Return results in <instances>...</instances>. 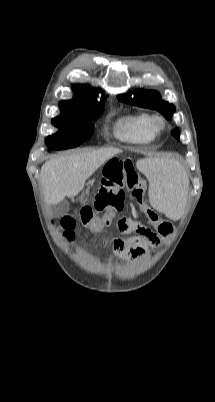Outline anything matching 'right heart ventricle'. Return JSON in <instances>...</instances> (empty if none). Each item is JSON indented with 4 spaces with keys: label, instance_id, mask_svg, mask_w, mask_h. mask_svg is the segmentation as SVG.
Segmentation results:
<instances>
[{
    "label": "right heart ventricle",
    "instance_id": "e07e8e85",
    "mask_svg": "<svg viewBox=\"0 0 215 402\" xmlns=\"http://www.w3.org/2000/svg\"><path fill=\"white\" fill-rule=\"evenodd\" d=\"M115 137L129 144H146L154 140L156 132L150 125V116L144 112L121 115L114 125Z\"/></svg>",
    "mask_w": 215,
    "mask_h": 402
}]
</instances>
